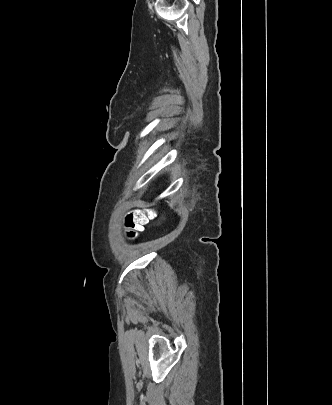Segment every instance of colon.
Masks as SVG:
<instances>
[{
  "instance_id": "obj_1",
  "label": "colon",
  "mask_w": 332,
  "mask_h": 405,
  "mask_svg": "<svg viewBox=\"0 0 332 405\" xmlns=\"http://www.w3.org/2000/svg\"><path fill=\"white\" fill-rule=\"evenodd\" d=\"M154 215V212L150 210L147 212L136 211L128 213L124 220L128 239H135L138 234L144 230L145 225Z\"/></svg>"
}]
</instances>
